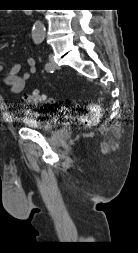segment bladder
<instances>
[{
	"instance_id": "31cf9c89",
	"label": "bladder",
	"mask_w": 138,
	"mask_h": 253,
	"mask_svg": "<svg viewBox=\"0 0 138 253\" xmlns=\"http://www.w3.org/2000/svg\"><path fill=\"white\" fill-rule=\"evenodd\" d=\"M22 123L25 127L42 132H53L60 125L57 116H42L35 113L27 114L23 117Z\"/></svg>"
}]
</instances>
